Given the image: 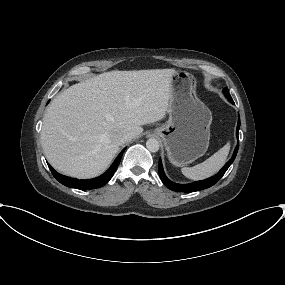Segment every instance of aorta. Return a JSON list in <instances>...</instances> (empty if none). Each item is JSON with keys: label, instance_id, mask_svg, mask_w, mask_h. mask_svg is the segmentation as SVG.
<instances>
[{"label": "aorta", "instance_id": "762f6f07", "mask_svg": "<svg viewBox=\"0 0 285 285\" xmlns=\"http://www.w3.org/2000/svg\"><path fill=\"white\" fill-rule=\"evenodd\" d=\"M159 142L155 138H150L146 142V147L150 152H157L159 150Z\"/></svg>", "mask_w": 285, "mask_h": 285}]
</instances>
